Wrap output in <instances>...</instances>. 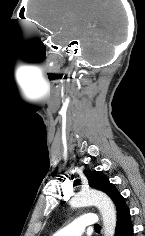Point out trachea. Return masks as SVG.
Listing matches in <instances>:
<instances>
[{
  "label": "trachea",
  "instance_id": "trachea-1",
  "mask_svg": "<svg viewBox=\"0 0 145 236\" xmlns=\"http://www.w3.org/2000/svg\"><path fill=\"white\" fill-rule=\"evenodd\" d=\"M101 227H100V225L99 224H96L95 225V229H100Z\"/></svg>",
  "mask_w": 145,
  "mask_h": 236
}]
</instances>
